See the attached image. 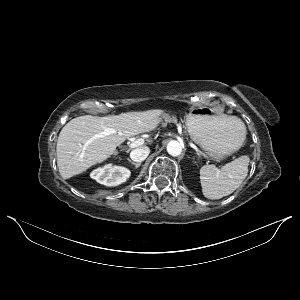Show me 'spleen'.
<instances>
[{
  "instance_id": "3e777b00",
  "label": "spleen",
  "mask_w": 300,
  "mask_h": 300,
  "mask_svg": "<svg viewBox=\"0 0 300 300\" xmlns=\"http://www.w3.org/2000/svg\"><path fill=\"white\" fill-rule=\"evenodd\" d=\"M232 119L246 137V127L242 120L234 116ZM249 162V157L244 155L227 163L221 169L214 165L203 166L200 169L203 195L209 199H220L233 193L246 178Z\"/></svg>"
}]
</instances>
